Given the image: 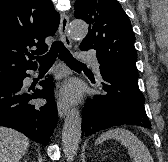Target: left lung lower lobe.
<instances>
[{
    "mask_svg": "<svg viewBox=\"0 0 168 162\" xmlns=\"http://www.w3.org/2000/svg\"><path fill=\"white\" fill-rule=\"evenodd\" d=\"M102 95L88 99L82 111V132L90 136L100 130L120 125L151 128L144 108V96L133 78L108 67L100 66Z\"/></svg>",
    "mask_w": 168,
    "mask_h": 162,
    "instance_id": "1",
    "label": "left lung lower lobe"
}]
</instances>
